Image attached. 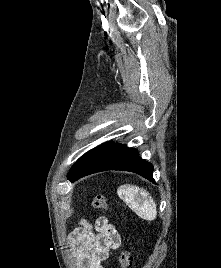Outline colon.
Here are the masks:
<instances>
[{"label": "colon", "instance_id": "5ec220e1", "mask_svg": "<svg viewBox=\"0 0 221 268\" xmlns=\"http://www.w3.org/2000/svg\"><path fill=\"white\" fill-rule=\"evenodd\" d=\"M92 206L95 209H109L110 205L103 195H97L93 198ZM119 264L121 268H131L132 267V255L130 249H125L121 252L119 257Z\"/></svg>", "mask_w": 221, "mask_h": 268}]
</instances>
